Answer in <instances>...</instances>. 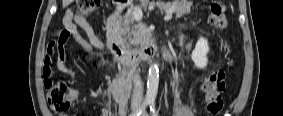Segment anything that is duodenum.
<instances>
[{
	"label": "duodenum",
	"mask_w": 283,
	"mask_h": 116,
	"mask_svg": "<svg viewBox=\"0 0 283 116\" xmlns=\"http://www.w3.org/2000/svg\"><path fill=\"white\" fill-rule=\"evenodd\" d=\"M125 6L117 5L111 15L108 17L106 22V31H107V45L115 57L122 62L124 65L135 68L140 62L150 60L156 51L155 47L147 46L139 50H125L121 47L118 42L114 30L116 23L123 12ZM133 76L130 73L128 76L120 79L118 81L119 86H123L126 89H129L132 85Z\"/></svg>",
	"instance_id": "duodenum-1"
}]
</instances>
